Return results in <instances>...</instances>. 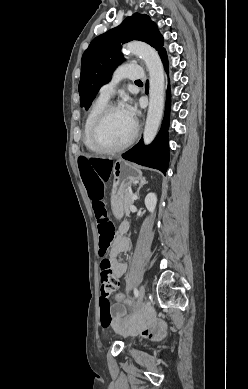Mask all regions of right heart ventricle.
Instances as JSON below:
<instances>
[{"label": "right heart ventricle", "mask_w": 248, "mask_h": 389, "mask_svg": "<svg viewBox=\"0 0 248 389\" xmlns=\"http://www.w3.org/2000/svg\"><path fill=\"white\" fill-rule=\"evenodd\" d=\"M108 104V100L102 97H98L91 105L83 125V142L87 149L99 152L91 141V129L95 119L101 110Z\"/></svg>", "instance_id": "right-heart-ventricle-1"}]
</instances>
